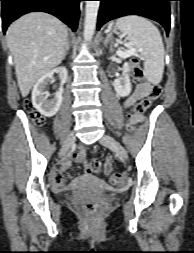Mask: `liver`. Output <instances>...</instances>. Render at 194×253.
<instances>
[{
	"label": "liver",
	"instance_id": "1",
	"mask_svg": "<svg viewBox=\"0 0 194 253\" xmlns=\"http://www.w3.org/2000/svg\"><path fill=\"white\" fill-rule=\"evenodd\" d=\"M67 36V27L43 12L26 14L10 25L6 41L23 97L38 79L61 63Z\"/></svg>",
	"mask_w": 194,
	"mask_h": 253
}]
</instances>
